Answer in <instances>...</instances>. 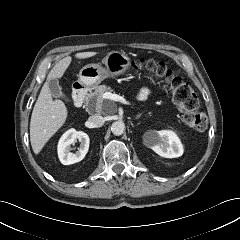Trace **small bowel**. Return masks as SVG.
<instances>
[{
  "label": "small bowel",
  "mask_w": 240,
  "mask_h": 240,
  "mask_svg": "<svg viewBox=\"0 0 240 240\" xmlns=\"http://www.w3.org/2000/svg\"><path fill=\"white\" fill-rule=\"evenodd\" d=\"M149 94H150L149 89L142 88L138 93V99L141 101L146 100L148 98Z\"/></svg>",
  "instance_id": "obj_1"
}]
</instances>
